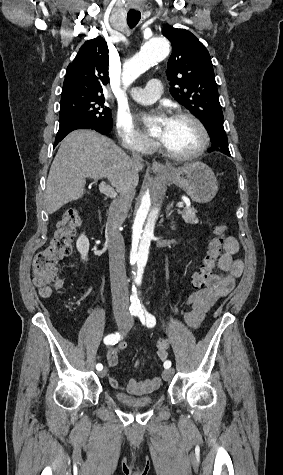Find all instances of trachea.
<instances>
[{
    "instance_id": "trachea-1",
    "label": "trachea",
    "mask_w": 283,
    "mask_h": 475,
    "mask_svg": "<svg viewBox=\"0 0 283 475\" xmlns=\"http://www.w3.org/2000/svg\"><path fill=\"white\" fill-rule=\"evenodd\" d=\"M141 18V13L140 12H136V11H133V12H128L127 14V23L129 25L130 28H134L137 23L139 22Z\"/></svg>"
}]
</instances>
